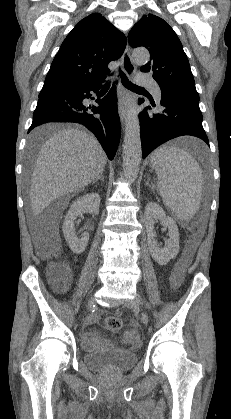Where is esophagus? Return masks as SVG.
I'll use <instances>...</instances> for the list:
<instances>
[{
    "instance_id": "1",
    "label": "esophagus",
    "mask_w": 231,
    "mask_h": 419,
    "mask_svg": "<svg viewBox=\"0 0 231 419\" xmlns=\"http://www.w3.org/2000/svg\"><path fill=\"white\" fill-rule=\"evenodd\" d=\"M122 67L125 74L128 77H131L136 70L135 64L133 63L130 55V49L128 44L126 45L125 51L122 55ZM128 109V92L123 88L120 87L119 91V103H118V113L122 124L127 115Z\"/></svg>"
}]
</instances>
